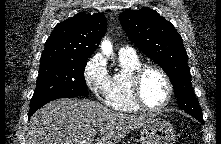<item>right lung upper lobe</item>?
<instances>
[{
	"label": "right lung upper lobe",
	"instance_id": "cb5924a9",
	"mask_svg": "<svg viewBox=\"0 0 221 144\" xmlns=\"http://www.w3.org/2000/svg\"><path fill=\"white\" fill-rule=\"evenodd\" d=\"M106 29L103 14L79 13L56 25L41 59L86 60L98 47Z\"/></svg>",
	"mask_w": 221,
	"mask_h": 144
}]
</instances>
